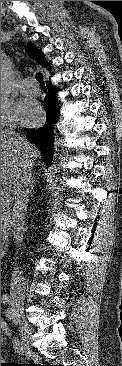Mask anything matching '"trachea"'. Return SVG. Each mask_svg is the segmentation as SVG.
Here are the masks:
<instances>
[{
	"mask_svg": "<svg viewBox=\"0 0 122 366\" xmlns=\"http://www.w3.org/2000/svg\"><path fill=\"white\" fill-rule=\"evenodd\" d=\"M36 80L38 81V83L40 84L41 87L46 88L44 80H43V75L41 73H38L36 75Z\"/></svg>",
	"mask_w": 122,
	"mask_h": 366,
	"instance_id": "obj_1",
	"label": "trachea"
}]
</instances>
